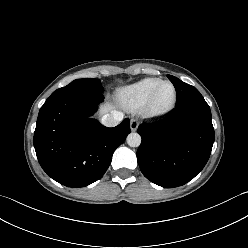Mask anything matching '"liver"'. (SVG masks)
Masks as SVG:
<instances>
[{
    "instance_id": "liver-1",
    "label": "liver",
    "mask_w": 248,
    "mask_h": 248,
    "mask_svg": "<svg viewBox=\"0 0 248 248\" xmlns=\"http://www.w3.org/2000/svg\"><path fill=\"white\" fill-rule=\"evenodd\" d=\"M113 106L111 104H107L106 106L100 109V114H105L107 112H111Z\"/></svg>"
}]
</instances>
